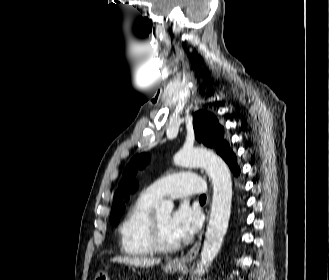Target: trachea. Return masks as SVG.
<instances>
[{"mask_svg":"<svg viewBox=\"0 0 329 280\" xmlns=\"http://www.w3.org/2000/svg\"><path fill=\"white\" fill-rule=\"evenodd\" d=\"M200 201H206V195L205 194L200 196Z\"/></svg>","mask_w":329,"mask_h":280,"instance_id":"3493384b","label":"trachea"}]
</instances>
